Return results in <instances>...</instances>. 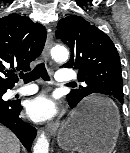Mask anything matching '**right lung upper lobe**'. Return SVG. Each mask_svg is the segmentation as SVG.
<instances>
[{
    "instance_id": "1",
    "label": "right lung upper lobe",
    "mask_w": 130,
    "mask_h": 153,
    "mask_svg": "<svg viewBox=\"0 0 130 153\" xmlns=\"http://www.w3.org/2000/svg\"><path fill=\"white\" fill-rule=\"evenodd\" d=\"M45 40V27L28 17L10 14L0 18V89L14 86L16 71L30 70V62L41 54Z\"/></svg>"
}]
</instances>
